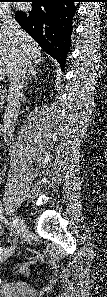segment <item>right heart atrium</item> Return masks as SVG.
Instances as JSON below:
<instances>
[{
	"instance_id": "right-heart-atrium-1",
	"label": "right heart atrium",
	"mask_w": 107,
	"mask_h": 297,
	"mask_svg": "<svg viewBox=\"0 0 107 297\" xmlns=\"http://www.w3.org/2000/svg\"><path fill=\"white\" fill-rule=\"evenodd\" d=\"M8 13V9L7 8H1L0 9V14H2L3 16H5Z\"/></svg>"
}]
</instances>
